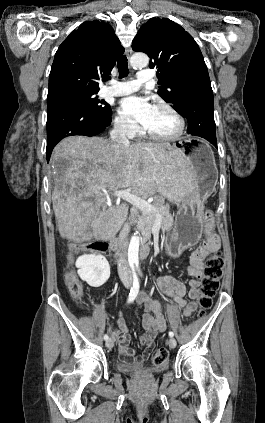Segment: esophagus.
<instances>
[{
	"instance_id": "34e87169",
	"label": "esophagus",
	"mask_w": 265,
	"mask_h": 423,
	"mask_svg": "<svg viewBox=\"0 0 265 423\" xmlns=\"http://www.w3.org/2000/svg\"><path fill=\"white\" fill-rule=\"evenodd\" d=\"M131 55H132V49L128 48L127 51H126L127 58L130 59Z\"/></svg>"
}]
</instances>
